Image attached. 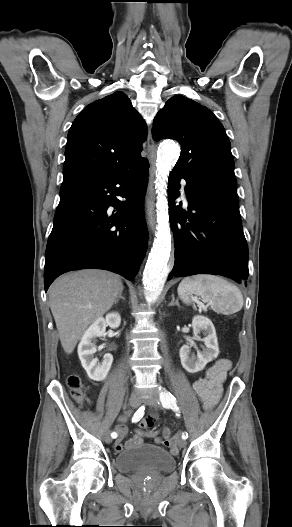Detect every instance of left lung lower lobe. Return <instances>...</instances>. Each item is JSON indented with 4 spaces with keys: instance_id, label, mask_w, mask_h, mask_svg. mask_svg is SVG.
Returning a JSON list of instances; mask_svg holds the SVG:
<instances>
[{
    "instance_id": "1",
    "label": "left lung lower lobe",
    "mask_w": 292,
    "mask_h": 527,
    "mask_svg": "<svg viewBox=\"0 0 292 527\" xmlns=\"http://www.w3.org/2000/svg\"><path fill=\"white\" fill-rule=\"evenodd\" d=\"M181 176L169 178V215L175 239L172 276L217 274L242 282L248 277V248L236 193L186 183L190 214L175 206ZM188 220L187 223H184Z\"/></svg>"
}]
</instances>
